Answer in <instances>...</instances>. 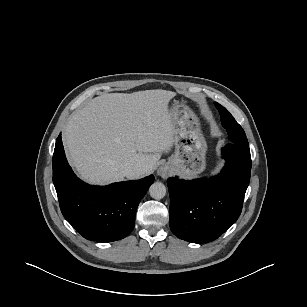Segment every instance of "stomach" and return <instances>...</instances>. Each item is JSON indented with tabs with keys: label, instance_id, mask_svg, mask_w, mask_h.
<instances>
[{
	"label": "stomach",
	"instance_id": "stomach-1",
	"mask_svg": "<svg viewBox=\"0 0 307 307\" xmlns=\"http://www.w3.org/2000/svg\"><path fill=\"white\" fill-rule=\"evenodd\" d=\"M168 110L175 130V152L167 164L183 177L197 176L206 167L207 152L199 119L189 107L179 102Z\"/></svg>",
	"mask_w": 307,
	"mask_h": 307
}]
</instances>
